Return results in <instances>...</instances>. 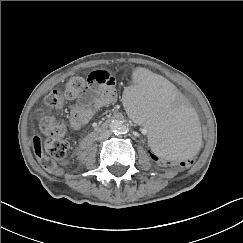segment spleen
Here are the masks:
<instances>
[{
	"mask_svg": "<svg viewBox=\"0 0 243 243\" xmlns=\"http://www.w3.org/2000/svg\"><path fill=\"white\" fill-rule=\"evenodd\" d=\"M127 114L146 123V144L152 153L172 162L188 161L200 147V134L189 100L161 74L131 83L124 95Z\"/></svg>",
	"mask_w": 243,
	"mask_h": 243,
	"instance_id": "spleen-1",
	"label": "spleen"
}]
</instances>
